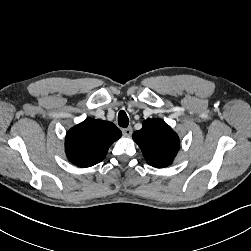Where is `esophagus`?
Wrapping results in <instances>:
<instances>
[{
	"mask_svg": "<svg viewBox=\"0 0 251 251\" xmlns=\"http://www.w3.org/2000/svg\"><path fill=\"white\" fill-rule=\"evenodd\" d=\"M122 133H123L125 136H130V135L132 134V128H131V127L123 128V129H122Z\"/></svg>",
	"mask_w": 251,
	"mask_h": 251,
	"instance_id": "obj_1",
	"label": "esophagus"
}]
</instances>
